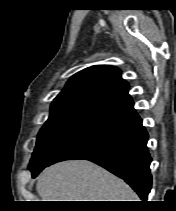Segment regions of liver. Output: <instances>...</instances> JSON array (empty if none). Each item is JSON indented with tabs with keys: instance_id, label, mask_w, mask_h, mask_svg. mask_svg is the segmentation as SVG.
Listing matches in <instances>:
<instances>
[{
	"instance_id": "6515ba94",
	"label": "liver",
	"mask_w": 176,
	"mask_h": 211,
	"mask_svg": "<svg viewBox=\"0 0 176 211\" xmlns=\"http://www.w3.org/2000/svg\"><path fill=\"white\" fill-rule=\"evenodd\" d=\"M36 191L42 201H139L123 180L85 160L46 168L38 177Z\"/></svg>"
}]
</instances>
